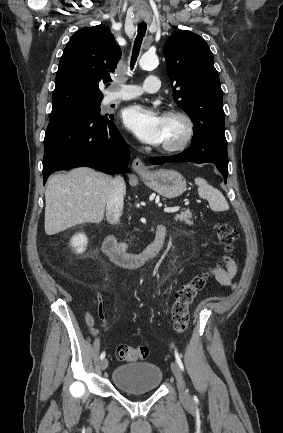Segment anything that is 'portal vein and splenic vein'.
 Listing matches in <instances>:
<instances>
[{
	"label": "portal vein and splenic vein",
	"mask_w": 283,
	"mask_h": 433,
	"mask_svg": "<svg viewBox=\"0 0 283 433\" xmlns=\"http://www.w3.org/2000/svg\"><path fill=\"white\" fill-rule=\"evenodd\" d=\"M179 208L180 206H173V208H170V206H166V208H164V212H177Z\"/></svg>",
	"instance_id": "18ae733b"
}]
</instances>
